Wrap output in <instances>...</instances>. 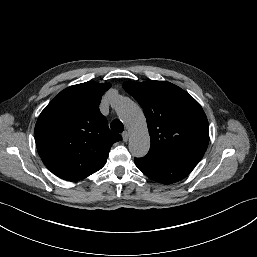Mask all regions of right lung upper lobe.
I'll return each mask as SVG.
<instances>
[{
	"label": "right lung upper lobe",
	"instance_id": "obj_1",
	"mask_svg": "<svg viewBox=\"0 0 257 257\" xmlns=\"http://www.w3.org/2000/svg\"><path fill=\"white\" fill-rule=\"evenodd\" d=\"M110 83L85 82L61 91L35 126L38 153L56 176L78 181L100 170L111 146L122 139L99 110Z\"/></svg>",
	"mask_w": 257,
	"mask_h": 257
}]
</instances>
